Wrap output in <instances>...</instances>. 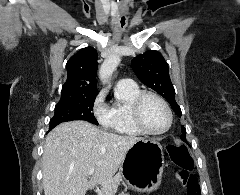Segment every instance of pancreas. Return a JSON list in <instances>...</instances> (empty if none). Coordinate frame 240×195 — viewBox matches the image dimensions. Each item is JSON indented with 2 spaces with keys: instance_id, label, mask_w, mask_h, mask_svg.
<instances>
[{
  "instance_id": "pancreas-1",
  "label": "pancreas",
  "mask_w": 240,
  "mask_h": 195,
  "mask_svg": "<svg viewBox=\"0 0 240 195\" xmlns=\"http://www.w3.org/2000/svg\"><path fill=\"white\" fill-rule=\"evenodd\" d=\"M115 191H116V189H112L111 195H113V193H115ZM125 191H126V189H125ZM121 195H129V193H121Z\"/></svg>"
}]
</instances>
